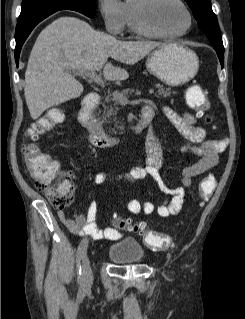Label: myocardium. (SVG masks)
I'll return each mask as SVG.
<instances>
[{"label": "myocardium", "mask_w": 245, "mask_h": 319, "mask_svg": "<svg viewBox=\"0 0 245 319\" xmlns=\"http://www.w3.org/2000/svg\"><path fill=\"white\" fill-rule=\"evenodd\" d=\"M155 1L156 0H135L133 3V17H134L135 25L141 34L149 36V37L174 39V38L185 35L191 29L193 24V16L189 7L186 5V3L183 0H175V1L179 3L186 12V15L188 18L186 27L181 31L173 32V33L164 32L158 29L151 22L150 16H149L152 4Z\"/></svg>", "instance_id": "obj_1"}]
</instances>
